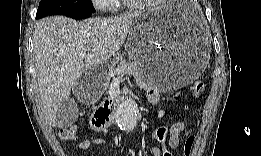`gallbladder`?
I'll use <instances>...</instances> for the list:
<instances>
[{"mask_svg": "<svg viewBox=\"0 0 261 156\" xmlns=\"http://www.w3.org/2000/svg\"><path fill=\"white\" fill-rule=\"evenodd\" d=\"M66 100L57 105L61 107L57 113V123L58 127H68L71 126L77 119V109L79 108L76 101L73 98H65Z\"/></svg>", "mask_w": 261, "mask_h": 156, "instance_id": "1", "label": "gallbladder"}]
</instances>
